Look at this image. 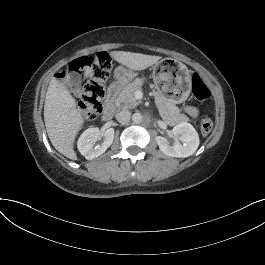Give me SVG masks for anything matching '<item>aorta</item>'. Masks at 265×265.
<instances>
[{
  "mask_svg": "<svg viewBox=\"0 0 265 265\" xmlns=\"http://www.w3.org/2000/svg\"><path fill=\"white\" fill-rule=\"evenodd\" d=\"M132 120L135 124H139L142 122V115L140 113H134L132 116Z\"/></svg>",
  "mask_w": 265,
  "mask_h": 265,
  "instance_id": "obj_1",
  "label": "aorta"
}]
</instances>
